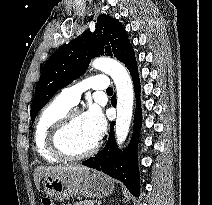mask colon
I'll return each mask as SVG.
<instances>
[{"mask_svg":"<svg viewBox=\"0 0 212 205\" xmlns=\"http://www.w3.org/2000/svg\"><path fill=\"white\" fill-rule=\"evenodd\" d=\"M42 205H54V203L50 199L44 198L42 200Z\"/></svg>","mask_w":212,"mask_h":205,"instance_id":"colon-1","label":"colon"}]
</instances>
